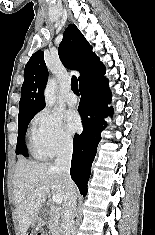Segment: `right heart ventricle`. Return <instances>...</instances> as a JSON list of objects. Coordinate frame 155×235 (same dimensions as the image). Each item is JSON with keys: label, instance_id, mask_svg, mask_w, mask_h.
<instances>
[{"label": "right heart ventricle", "instance_id": "right-heart-ventricle-1", "mask_svg": "<svg viewBox=\"0 0 155 235\" xmlns=\"http://www.w3.org/2000/svg\"><path fill=\"white\" fill-rule=\"evenodd\" d=\"M31 150L35 157L37 158H45L47 157L36 145L34 142L31 143Z\"/></svg>", "mask_w": 155, "mask_h": 235}]
</instances>
